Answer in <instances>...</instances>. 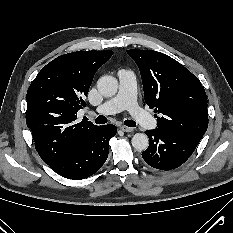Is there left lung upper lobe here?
I'll list each match as a JSON object with an SVG mask.
<instances>
[{"label":"left lung upper lobe","mask_w":233,"mask_h":233,"mask_svg":"<svg viewBox=\"0 0 233 233\" xmlns=\"http://www.w3.org/2000/svg\"><path fill=\"white\" fill-rule=\"evenodd\" d=\"M142 78L144 98L158 113L157 128L201 140L208 127L207 96L196 76L156 51L127 50Z\"/></svg>","instance_id":"5c2ea615"}]
</instances>
